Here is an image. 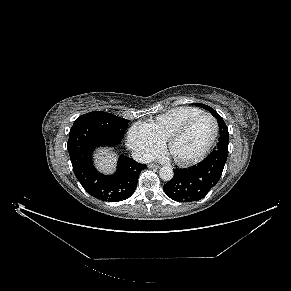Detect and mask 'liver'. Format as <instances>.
<instances>
[{
	"label": "liver",
	"instance_id": "6515ba94",
	"mask_svg": "<svg viewBox=\"0 0 291 291\" xmlns=\"http://www.w3.org/2000/svg\"><path fill=\"white\" fill-rule=\"evenodd\" d=\"M99 156L100 159V167L109 170L112 167V159L113 157L110 155L109 150H102Z\"/></svg>",
	"mask_w": 291,
	"mask_h": 291
}]
</instances>
